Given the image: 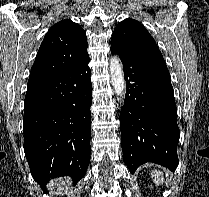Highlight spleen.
<instances>
[{"instance_id":"obj_1","label":"spleen","mask_w":209,"mask_h":197,"mask_svg":"<svg viewBox=\"0 0 209 197\" xmlns=\"http://www.w3.org/2000/svg\"><path fill=\"white\" fill-rule=\"evenodd\" d=\"M151 176L154 177V183L156 185H160V184L163 183V174H162V172L155 170V171H153L151 173Z\"/></svg>"}]
</instances>
